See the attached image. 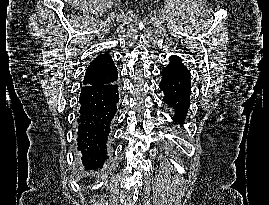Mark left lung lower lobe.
I'll use <instances>...</instances> for the list:
<instances>
[{
  "label": "left lung lower lobe",
  "instance_id": "1",
  "mask_svg": "<svg viewBox=\"0 0 269 205\" xmlns=\"http://www.w3.org/2000/svg\"><path fill=\"white\" fill-rule=\"evenodd\" d=\"M162 80L159 88L164 92L166 104L175 109L172 119L182 123L186 119L190 103L191 81L190 71L175 55L170 57V63L161 71Z\"/></svg>",
  "mask_w": 269,
  "mask_h": 205
}]
</instances>
